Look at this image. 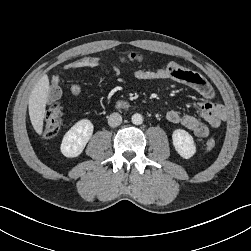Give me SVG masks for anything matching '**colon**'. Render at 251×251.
Segmentation results:
<instances>
[{"instance_id": "5ec220e1", "label": "colon", "mask_w": 251, "mask_h": 251, "mask_svg": "<svg viewBox=\"0 0 251 251\" xmlns=\"http://www.w3.org/2000/svg\"><path fill=\"white\" fill-rule=\"evenodd\" d=\"M127 58L132 61H139L141 60L142 56L137 53H131ZM62 120V108L59 103H55L45 116L42 128V136L45 139H51L55 137L61 128ZM214 147L215 141L213 139H209L204 145V148L208 151L212 150Z\"/></svg>"}]
</instances>
